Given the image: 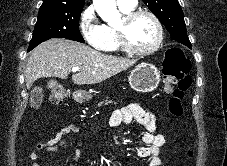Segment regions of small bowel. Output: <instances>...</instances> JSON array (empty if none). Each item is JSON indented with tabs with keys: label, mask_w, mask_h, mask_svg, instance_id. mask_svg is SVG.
Masks as SVG:
<instances>
[{
	"label": "small bowel",
	"mask_w": 227,
	"mask_h": 166,
	"mask_svg": "<svg viewBox=\"0 0 227 166\" xmlns=\"http://www.w3.org/2000/svg\"><path fill=\"white\" fill-rule=\"evenodd\" d=\"M156 119V114L153 111L136 103L122 106L115 110L111 116V123L114 126L136 120L144 128L141 139L145 146L137 150V155L140 158H149V166L162 165L160 150L165 144V138L156 131ZM78 132L79 129L75 125H67L57 131L52 138L37 144L29 154V158L33 162L32 166H41L38 159L43 152H57L59 147L67 145V137ZM80 156V151L76 148L74 150V160L78 161Z\"/></svg>",
	"instance_id": "obj_1"
}]
</instances>
